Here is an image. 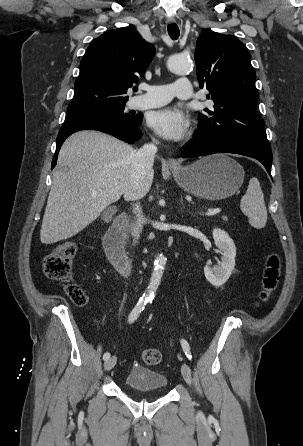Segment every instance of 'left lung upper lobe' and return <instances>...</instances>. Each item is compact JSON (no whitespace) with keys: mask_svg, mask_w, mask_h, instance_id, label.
Returning <instances> with one entry per match:
<instances>
[{"mask_svg":"<svg viewBox=\"0 0 303 446\" xmlns=\"http://www.w3.org/2000/svg\"><path fill=\"white\" fill-rule=\"evenodd\" d=\"M194 58L200 88L207 89V99L214 102L213 110L199 113L198 132L268 142L256 109V75L243 43L233 35L206 30L198 37Z\"/></svg>","mask_w":303,"mask_h":446,"instance_id":"obj_1","label":"left lung upper lobe"}]
</instances>
